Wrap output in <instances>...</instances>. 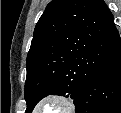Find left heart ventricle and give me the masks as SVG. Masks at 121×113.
<instances>
[{
  "label": "left heart ventricle",
  "mask_w": 121,
  "mask_h": 113,
  "mask_svg": "<svg viewBox=\"0 0 121 113\" xmlns=\"http://www.w3.org/2000/svg\"><path fill=\"white\" fill-rule=\"evenodd\" d=\"M65 106L60 102L47 101L39 108V113H62Z\"/></svg>",
  "instance_id": "left-heart-ventricle-1"
}]
</instances>
